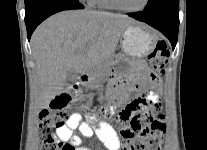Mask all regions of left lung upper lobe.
I'll use <instances>...</instances> for the list:
<instances>
[{"label":"left lung upper lobe","mask_w":207,"mask_h":150,"mask_svg":"<svg viewBox=\"0 0 207 150\" xmlns=\"http://www.w3.org/2000/svg\"><path fill=\"white\" fill-rule=\"evenodd\" d=\"M163 1L165 0H148V4L147 6L145 7L146 10L148 9H152L154 8L155 6L161 4Z\"/></svg>","instance_id":"obj_1"}]
</instances>
